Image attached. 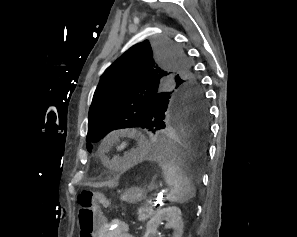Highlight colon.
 Segmentation results:
<instances>
[{
	"instance_id": "1",
	"label": "colon",
	"mask_w": 297,
	"mask_h": 237,
	"mask_svg": "<svg viewBox=\"0 0 297 237\" xmlns=\"http://www.w3.org/2000/svg\"><path fill=\"white\" fill-rule=\"evenodd\" d=\"M78 203L79 237H97L102 224L100 209L108 207L110 200L102 193L83 190L78 195Z\"/></svg>"
}]
</instances>
